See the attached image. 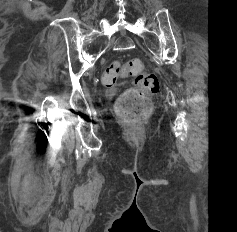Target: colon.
Returning a JSON list of instances; mask_svg holds the SVG:
<instances>
[{"instance_id":"colon-1","label":"colon","mask_w":237,"mask_h":232,"mask_svg":"<svg viewBox=\"0 0 237 232\" xmlns=\"http://www.w3.org/2000/svg\"><path fill=\"white\" fill-rule=\"evenodd\" d=\"M132 75L134 86L125 91L117 102L118 116L130 126H138L151 114L152 105L149 96L159 91V81L155 74L144 71L141 60L132 59L125 64L112 62L104 71L102 81L113 85L118 78Z\"/></svg>"}]
</instances>
